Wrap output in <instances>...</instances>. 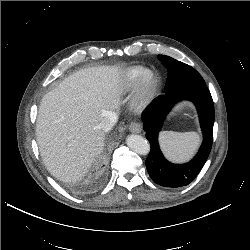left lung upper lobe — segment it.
Listing matches in <instances>:
<instances>
[{
	"label": "left lung upper lobe",
	"instance_id": "1",
	"mask_svg": "<svg viewBox=\"0 0 250 250\" xmlns=\"http://www.w3.org/2000/svg\"><path fill=\"white\" fill-rule=\"evenodd\" d=\"M158 59L168 70L165 93L205 84L201 75L191 66L165 55H158Z\"/></svg>",
	"mask_w": 250,
	"mask_h": 250
}]
</instances>
